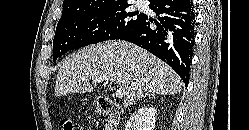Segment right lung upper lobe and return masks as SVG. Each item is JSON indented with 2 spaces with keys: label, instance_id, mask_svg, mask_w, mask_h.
I'll list each match as a JSON object with an SVG mask.
<instances>
[{
  "label": "right lung upper lobe",
  "instance_id": "cb5924a9",
  "mask_svg": "<svg viewBox=\"0 0 249 130\" xmlns=\"http://www.w3.org/2000/svg\"><path fill=\"white\" fill-rule=\"evenodd\" d=\"M109 1H114V0H64L63 12L77 11L94 4L109 2ZM118 1H123V0H118Z\"/></svg>",
  "mask_w": 249,
  "mask_h": 130
}]
</instances>
